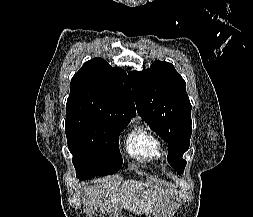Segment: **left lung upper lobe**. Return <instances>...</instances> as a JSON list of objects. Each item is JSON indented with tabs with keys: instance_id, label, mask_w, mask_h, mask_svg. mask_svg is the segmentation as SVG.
I'll return each mask as SVG.
<instances>
[{
	"instance_id": "1",
	"label": "left lung upper lobe",
	"mask_w": 253,
	"mask_h": 217,
	"mask_svg": "<svg viewBox=\"0 0 253 217\" xmlns=\"http://www.w3.org/2000/svg\"><path fill=\"white\" fill-rule=\"evenodd\" d=\"M129 78L138 114L168 143V161L181 174L192 133L184 79L171 63L157 60L146 70L129 72Z\"/></svg>"
}]
</instances>
